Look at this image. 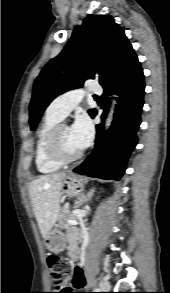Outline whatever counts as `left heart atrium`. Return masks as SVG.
Instances as JSON below:
<instances>
[{
    "instance_id": "obj_1",
    "label": "left heart atrium",
    "mask_w": 170,
    "mask_h": 293,
    "mask_svg": "<svg viewBox=\"0 0 170 293\" xmlns=\"http://www.w3.org/2000/svg\"><path fill=\"white\" fill-rule=\"evenodd\" d=\"M69 129L71 137L79 149H83L89 144L93 128L88 117L81 116L77 118Z\"/></svg>"
}]
</instances>
